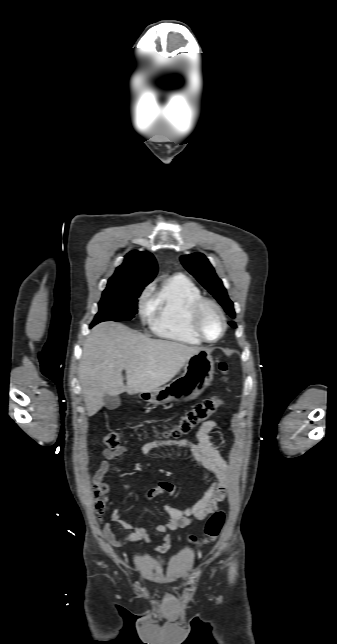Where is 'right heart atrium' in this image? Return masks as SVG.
Returning a JSON list of instances; mask_svg holds the SVG:
<instances>
[{
    "label": "right heart atrium",
    "instance_id": "obj_1",
    "mask_svg": "<svg viewBox=\"0 0 337 644\" xmlns=\"http://www.w3.org/2000/svg\"><path fill=\"white\" fill-rule=\"evenodd\" d=\"M149 295H150V289H147L140 300V306H141V312L143 316H147L149 314Z\"/></svg>",
    "mask_w": 337,
    "mask_h": 644
}]
</instances>
